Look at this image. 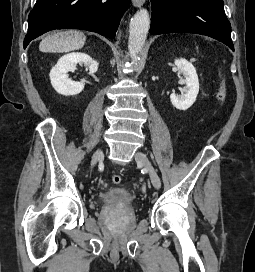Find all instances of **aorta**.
<instances>
[{
    "label": "aorta",
    "mask_w": 255,
    "mask_h": 272,
    "mask_svg": "<svg viewBox=\"0 0 255 272\" xmlns=\"http://www.w3.org/2000/svg\"><path fill=\"white\" fill-rule=\"evenodd\" d=\"M150 27V17L146 9L138 10L132 17L129 26L128 50L132 63L140 60Z\"/></svg>",
    "instance_id": "aorta-1"
}]
</instances>
